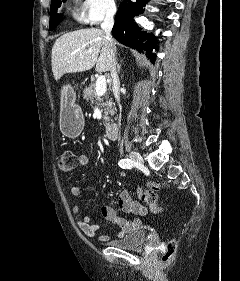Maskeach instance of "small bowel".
Listing matches in <instances>:
<instances>
[{"label": "small bowel", "instance_id": "obj_1", "mask_svg": "<svg viewBox=\"0 0 240 281\" xmlns=\"http://www.w3.org/2000/svg\"><path fill=\"white\" fill-rule=\"evenodd\" d=\"M89 163V155L87 153H82L78 157V166L84 167ZM120 175H124L123 171H119ZM70 193L74 198V203L72 206V213L75 215L76 223L79 229L88 237L97 238L101 241L107 240L106 235H99L98 232L101 229V224H96L91 222L89 216H81V189L78 186H72ZM118 205L121 210L125 213L137 214L144 216L147 214V209L140 202L133 200L131 192L129 189L123 190L118 196ZM100 212L103 218L112 224L117 225L120 228L118 233L119 237H123L137 229L142 227V221L138 218L133 220H127L117 214V212L109 205H101Z\"/></svg>", "mask_w": 240, "mask_h": 281}]
</instances>
